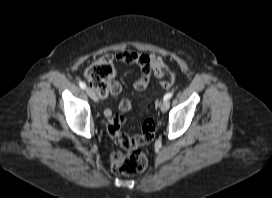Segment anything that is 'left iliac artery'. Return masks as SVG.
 <instances>
[{
    "label": "left iliac artery",
    "mask_w": 272,
    "mask_h": 198,
    "mask_svg": "<svg viewBox=\"0 0 272 198\" xmlns=\"http://www.w3.org/2000/svg\"><path fill=\"white\" fill-rule=\"evenodd\" d=\"M172 96H173V93H172V92H169V93L165 94L163 100H164V101L169 100Z\"/></svg>",
    "instance_id": "obj_1"
}]
</instances>
